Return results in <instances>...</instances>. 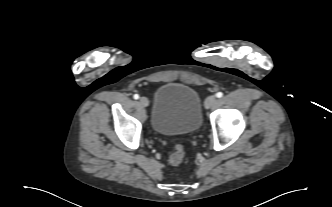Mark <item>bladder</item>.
I'll use <instances>...</instances> for the list:
<instances>
[{
	"label": "bladder",
	"mask_w": 332,
	"mask_h": 207,
	"mask_svg": "<svg viewBox=\"0 0 332 207\" xmlns=\"http://www.w3.org/2000/svg\"><path fill=\"white\" fill-rule=\"evenodd\" d=\"M201 123V97L196 89L176 82L157 88L151 114L155 132L165 136L193 134Z\"/></svg>",
	"instance_id": "obj_1"
}]
</instances>
